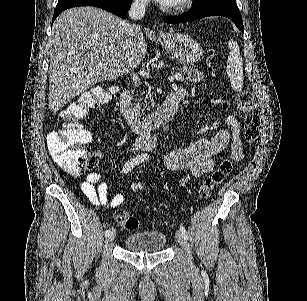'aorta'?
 <instances>
[{"instance_id":"aorta-1","label":"aorta","mask_w":307,"mask_h":301,"mask_svg":"<svg viewBox=\"0 0 307 301\" xmlns=\"http://www.w3.org/2000/svg\"><path fill=\"white\" fill-rule=\"evenodd\" d=\"M163 128H167V126H163Z\"/></svg>"}]
</instances>
